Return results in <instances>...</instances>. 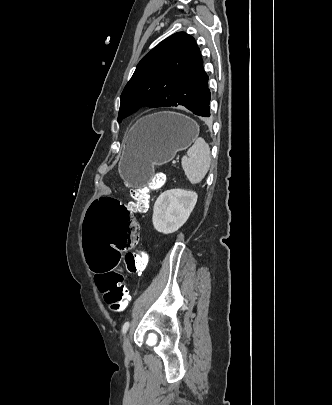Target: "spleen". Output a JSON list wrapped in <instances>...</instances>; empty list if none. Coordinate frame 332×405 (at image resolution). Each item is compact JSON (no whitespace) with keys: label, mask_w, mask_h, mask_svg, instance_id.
Listing matches in <instances>:
<instances>
[{"label":"spleen","mask_w":332,"mask_h":405,"mask_svg":"<svg viewBox=\"0 0 332 405\" xmlns=\"http://www.w3.org/2000/svg\"><path fill=\"white\" fill-rule=\"evenodd\" d=\"M211 163V152L207 142L199 137L182 158V167L188 180L192 184L200 183Z\"/></svg>","instance_id":"obj_1"}]
</instances>
